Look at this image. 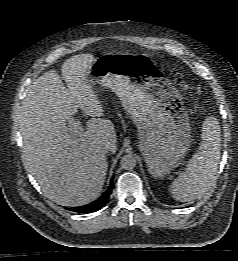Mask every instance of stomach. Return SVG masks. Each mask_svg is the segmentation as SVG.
<instances>
[{"mask_svg":"<svg viewBox=\"0 0 238 261\" xmlns=\"http://www.w3.org/2000/svg\"><path fill=\"white\" fill-rule=\"evenodd\" d=\"M91 84L111 89L138 129V147L148 171L162 178L185 156L190 124L180 93L153 63L129 54H105L94 60Z\"/></svg>","mask_w":238,"mask_h":261,"instance_id":"obj_1","label":"stomach"}]
</instances>
